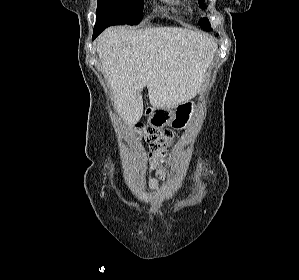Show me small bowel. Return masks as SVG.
<instances>
[{
  "label": "small bowel",
  "mask_w": 299,
  "mask_h": 280,
  "mask_svg": "<svg viewBox=\"0 0 299 280\" xmlns=\"http://www.w3.org/2000/svg\"><path fill=\"white\" fill-rule=\"evenodd\" d=\"M151 185L153 186V187H155L156 185H157V183H156V181L153 179V180H151Z\"/></svg>",
  "instance_id": "1"
}]
</instances>
